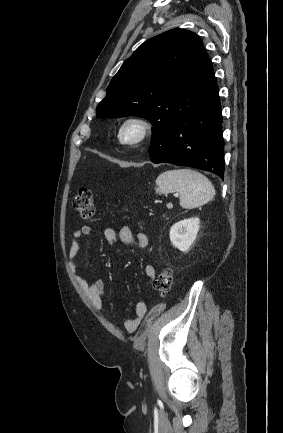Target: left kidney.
Masks as SVG:
<instances>
[{"instance_id":"left-kidney-1","label":"left kidney","mask_w":283,"mask_h":433,"mask_svg":"<svg viewBox=\"0 0 283 433\" xmlns=\"http://www.w3.org/2000/svg\"><path fill=\"white\" fill-rule=\"evenodd\" d=\"M199 228L200 220L198 217L184 219L175 223L169 233L172 245L182 252L189 250L196 239Z\"/></svg>"}]
</instances>
